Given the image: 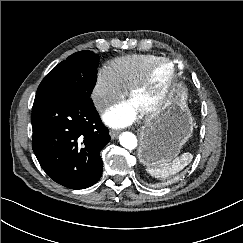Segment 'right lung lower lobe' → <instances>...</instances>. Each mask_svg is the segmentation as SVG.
Here are the masks:
<instances>
[{
	"label": "right lung lower lobe",
	"instance_id": "98d812e1",
	"mask_svg": "<svg viewBox=\"0 0 243 243\" xmlns=\"http://www.w3.org/2000/svg\"><path fill=\"white\" fill-rule=\"evenodd\" d=\"M32 128L33 151L51 179L70 189L88 188L99 180L100 151L110 136L91 98L37 94Z\"/></svg>",
	"mask_w": 243,
	"mask_h": 243
}]
</instances>
